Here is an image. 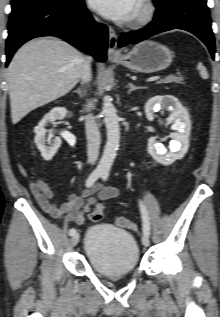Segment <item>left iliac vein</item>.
I'll list each match as a JSON object with an SVG mask.
<instances>
[{
	"mask_svg": "<svg viewBox=\"0 0 220 317\" xmlns=\"http://www.w3.org/2000/svg\"><path fill=\"white\" fill-rule=\"evenodd\" d=\"M142 244L145 246V247H148L150 245V241H149V238L147 236H142Z\"/></svg>",
	"mask_w": 220,
	"mask_h": 317,
	"instance_id": "obj_1",
	"label": "left iliac vein"
}]
</instances>
